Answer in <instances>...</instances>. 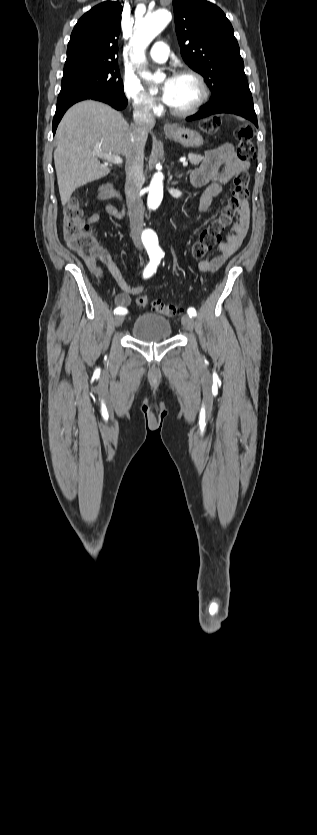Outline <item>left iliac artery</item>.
<instances>
[{"instance_id":"1","label":"left iliac artery","mask_w":317,"mask_h":835,"mask_svg":"<svg viewBox=\"0 0 317 835\" xmlns=\"http://www.w3.org/2000/svg\"><path fill=\"white\" fill-rule=\"evenodd\" d=\"M162 256H163V255H162ZM187 313H188V315H189L190 317H194V316H196V310H195L193 307L188 308Z\"/></svg>"}]
</instances>
